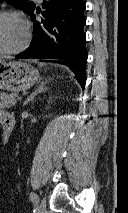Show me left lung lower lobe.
Wrapping results in <instances>:
<instances>
[{
	"mask_svg": "<svg viewBox=\"0 0 128 213\" xmlns=\"http://www.w3.org/2000/svg\"><path fill=\"white\" fill-rule=\"evenodd\" d=\"M42 21L35 20L34 11L29 13L34 21V39L30 47L16 56L19 59H60L79 79L84 88L86 82L87 49L85 46L86 24L83 0H43ZM39 12V11H38ZM40 13V12H39Z\"/></svg>",
	"mask_w": 128,
	"mask_h": 213,
	"instance_id": "obj_1",
	"label": "left lung lower lobe"
}]
</instances>
